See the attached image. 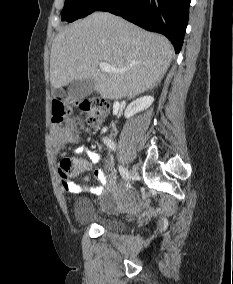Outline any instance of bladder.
I'll list each match as a JSON object with an SVG mask.
<instances>
[{"label": "bladder", "instance_id": "1", "mask_svg": "<svg viewBox=\"0 0 233 284\" xmlns=\"http://www.w3.org/2000/svg\"><path fill=\"white\" fill-rule=\"evenodd\" d=\"M113 198L121 202L133 199L132 195L128 192L118 194ZM73 213L75 221L80 225H97L109 233H120L125 228L124 223L119 219L97 215L86 197H78L75 199Z\"/></svg>", "mask_w": 233, "mask_h": 284}]
</instances>
